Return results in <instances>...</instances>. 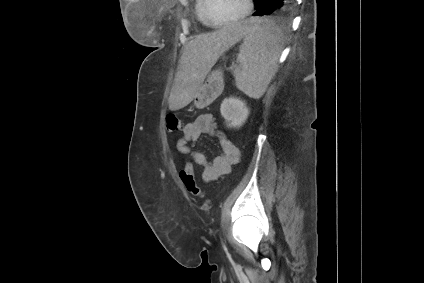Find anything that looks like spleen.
Returning a JSON list of instances; mask_svg holds the SVG:
<instances>
[{
	"mask_svg": "<svg viewBox=\"0 0 424 283\" xmlns=\"http://www.w3.org/2000/svg\"><path fill=\"white\" fill-rule=\"evenodd\" d=\"M247 33L240 46L238 64L232 65L237 88L249 97L261 98L278 70L284 36L282 30L267 19L246 21Z\"/></svg>",
	"mask_w": 424,
	"mask_h": 283,
	"instance_id": "3e777b00",
	"label": "spleen"
}]
</instances>
